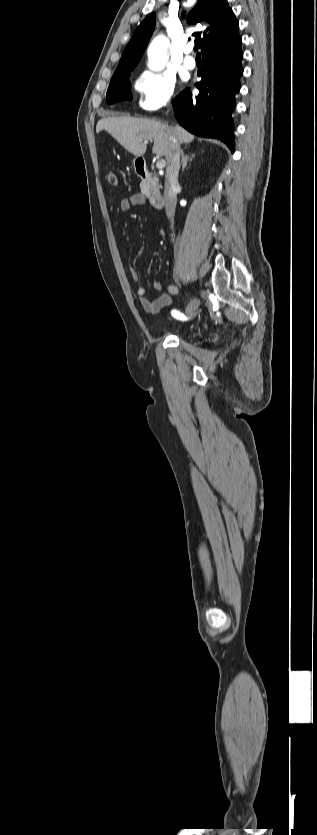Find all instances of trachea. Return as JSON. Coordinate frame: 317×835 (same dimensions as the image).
<instances>
[{
    "label": "trachea",
    "mask_w": 317,
    "mask_h": 835,
    "mask_svg": "<svg viewBox=\"0 0 317 835\" xmlns=\"http://www.w3.org/2000/svg\"><path fill=\"white\" fill-rule=\"evenodd\" d=\"M194 51H195V52H197V51H198V45H196V46L194 47ZM197 56H200V53H199V52L197 53Z\"/></svg>",
    "instance_id": "1"
}]
</instances>
